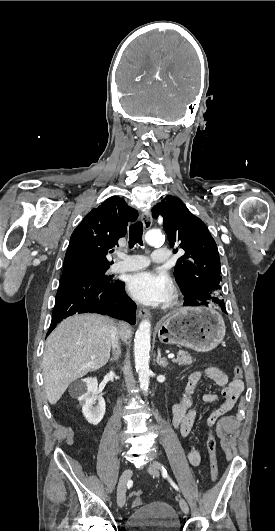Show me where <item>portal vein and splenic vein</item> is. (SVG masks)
Instances as JSON below:
<instances>
[{
  "instance_id": "obj_1",
  "label": "portal vein and splenic vein",
  "mask_w": 275,
  "mask_h": 531,
  "mask_svg": "<svg viewBox=\"0 0 275 531\" xmlns=\"http://www.w3.org/2000/svg\"><path fill=\"white\" fill-rule=\"evenodd\" d=\"M175 355H168V359H174ZM91 359H96V357H91Z\"/></svg>"
}]
</instances>
